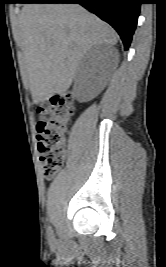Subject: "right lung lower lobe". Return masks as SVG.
I'll use <instances>...</instances> for the list:
<instances>
[{"label":"right lung lower lobe","instance_id":"right-lung-lower-lobe-1","mask_svg":"<svg viewBox=\"0 0 166 267\" xmlns=\"http://www.w3.org/2000/svg\"><path fill=\"white\" fill-rule=\"evenodd\" d=\"M20 3H78L109 23L130 46L142 0H20Z\"/></svg>","mask_w":166,"mask_h":267}]
</instances>
